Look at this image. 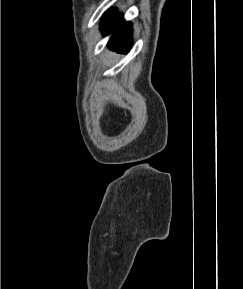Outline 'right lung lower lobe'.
Masks as SVG:
<instances>
[{
    "instance_id": "right-lung-lower-lobe-1",
    "label": "right lung lower lobe",
    "mask_w": 243,
    "mask_h": 289,
    "mask_svg": "<svg viewBox=\"0 0 243 289\" xmlns=\"http://www.w3.org/2000/svg\"><path fill=\"white\" fill-rule=\"evenodd\" d=\"M101 26L105 35L114 32L108 44L110 49L122 53H127L130 50L132 28L129 22L123 21L121 14L117 16V12L106 13Z\"/></svg>"
}]
</instances>
